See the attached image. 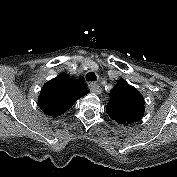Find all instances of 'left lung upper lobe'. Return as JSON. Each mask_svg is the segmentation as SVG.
Returning <instances> with one entry per match:
<instances>
[{"label": "left lung upper lobe", "mask_w": 177, "mask_h": 177, "mask_svg": "<svg viewBox=\"0 0 177 177\" xmlns=\"http://www.w3.org/2000/svg\"><path fill=\"white\" fill-rule=\"evenodd\" d=\"M106 112L112 120L122 127H131L144 115V99L141 93L123 78L111 91V102Z\"/></svg>", "instance_id": "1"}]
</instances>
